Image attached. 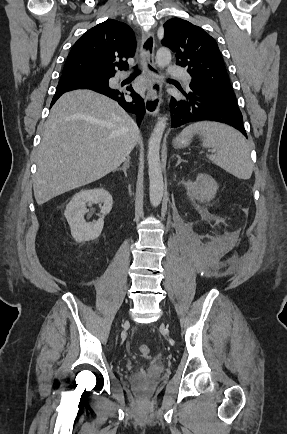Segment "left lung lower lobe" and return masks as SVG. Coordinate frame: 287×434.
Segmentation results:
<instances>
[{
  "label": "left lung lower lobe",
  "mask_w": 287,
  "mask_h": 434,
  "mask_svg": "<svg viewBox=\"0 0 287 434\" xmlns=\"http://www.w3.org/2000/svg\"><path fill=\"white\" fill-rule=\"evenodd\" d=\"M190 88L191 92L185 94L187 101L171 100V127L193 121L213 120L231 125L247 137L235 94L193 83H190Z\"/></svg>",
  "instance_id": "left-lung-lower-lobe-1"
}]
</instances>
